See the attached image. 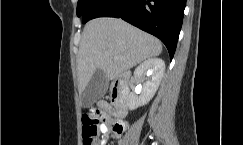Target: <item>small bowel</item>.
Listing matches in <instances>:
<instances>
[{
	"label": "small bowel",
	"mask_w": 243,
	"mask_h": 145,
	"mask_svg": "<svg viewBox=\"0 0 243 145\" xmlns=\"http://www.w3.org/2000/svg\"><path fill=\"white\" fill-rule=\"evenodd\" d=\"M98 106L102 109H105L107 107V104L104 101H99ZM102 121H103V123L101 124V127H100L101 138H100L99 145H105L110 134H112V136H114V137H118L122 133V132L116 133L111 129V124L115 120H113L110 116L106 115L105 113H103Z\"/></svg>",
	"instance_id": "obj_1"
}]
</instances>
